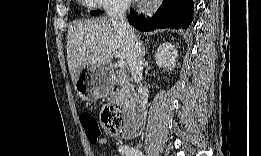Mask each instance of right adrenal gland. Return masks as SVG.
<instances>
[{"label":"right adrenal gland","mask_w":261,"mask_h":156,"mask_svg":"<svg viewBox=\"0 0 261 156\" xmlns=\"http://www.w3.org/2000/svg\"><path fill=\"white\" fill-rule=\"evenodd\" d=\"M140 46H141L142 55L145 56L146 55L145 46L143 45L142 42H140Z\"/></svg>","instance_id":"right-adrenal-gland-1"}]
</instances>
